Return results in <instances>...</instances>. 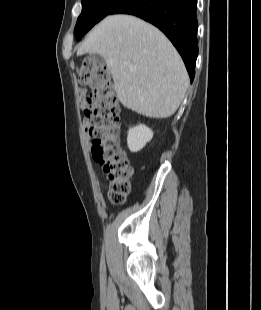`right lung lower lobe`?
Instances as JSON below:
<instances>
[{
	"mask_svg": "<svg viewBox=\"0 0 261 310\" xmlns=\"http://www.w3.org/2000/svg\"><path fill=\"white\" fill-rule=\"evenodd\" d=\"M197 0H124L110 14H131L158 27L180 53L191 82L198 55Z\"/></svg>",
	"mask_w": 261,
	"mask_h": 310,
	"instance_id": "right-lung-lower-lobe-1",
	"label": "right lung lower lobe"
}]
</instances>
